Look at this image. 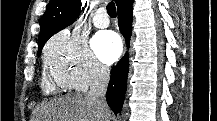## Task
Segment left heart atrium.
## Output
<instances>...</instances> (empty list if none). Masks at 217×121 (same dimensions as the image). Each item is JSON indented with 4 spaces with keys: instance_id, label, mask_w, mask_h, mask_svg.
<instances>
[{
    "instance_id": "1",
    "label": "left heart atrium",
    "mask_w": 217,
    "mask_h": 121,
    "mask_svg": "<svg viewBox=\"0 0 217 121\" xmlns=\"http://www.w3.org/2000/svg\"><path fill=\"white\" fill-rule=\"evenodd\" d=\"M92 48L96 56L104 63H112L121 54L122 45L117 34L112 31H102L95 35Z\"/></svg>"
}]
</instances>
